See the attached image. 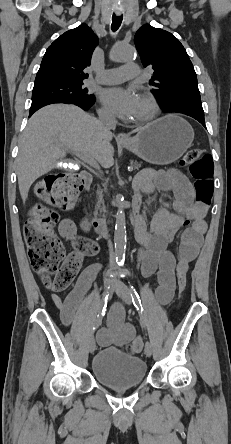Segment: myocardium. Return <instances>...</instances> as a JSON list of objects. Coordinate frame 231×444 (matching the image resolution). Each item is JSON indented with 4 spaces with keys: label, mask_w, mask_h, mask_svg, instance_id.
<instances>
[{
    "label": "myocardium",
    "mask_w": 231,
    "mask_h": 444,
    "mask_svg": "<svg viewBox=\"0 0 231 444\" xmlns=\"http://www.w3.org/2000/svg\"><path fill=\"white\" fill-rule=\"evenodd\" d=\"M140 98L146 103L148 111L138 117H135L132 121L136 123H145L157 116L159 112V105L155 97L149 92H142Z\"/></svg>",
    "instance_id": "1"
}]
</instances>
